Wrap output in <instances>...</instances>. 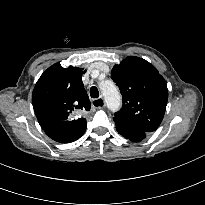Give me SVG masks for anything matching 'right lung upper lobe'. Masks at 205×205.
Here are the masks:
<instances>
[{
	"label": "right lung upper lobe",
	"instance_id": "1",
	"mask_svg": "<svg viewBox=\"0 0 205 205\" xmlns=\"http://www.w3.org/2000/svg\"><path fill=\"white\" fill-rule=\"evenodd\" d=\"M85 72L55 63L43 72L33 90L32 104L41 128H57L54 136L60 142L75 141L86 130V119L73 117L91 107L81 79Z\"/></svg>",
	"mask_w": 205,
	"mask_h": 205
}]
</instances>
